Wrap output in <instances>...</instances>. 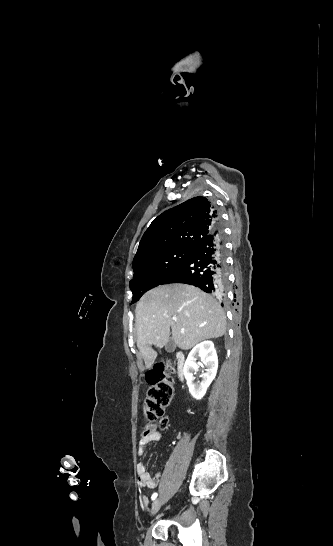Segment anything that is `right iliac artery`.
<instances>
[{"label":"right iliac artery","instance_id":"1","mask_svg":"<svg viewBox=\"0 0 333 546\" xmlns=\"http://www.w3.org/2000/svg\"><path fill=\"white\" fill-rule=\"evenodd\" d=\"M156 497H157V493H154V494L152 495L151 499H152V500H155Z\"/></svg>","mask_w":333,"mask_h":546}]
</instances>
